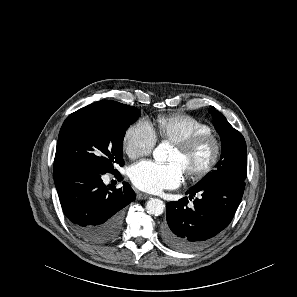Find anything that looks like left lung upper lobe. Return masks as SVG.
I'll list each match as a JSON object with an SVG mask.
<instances>
[{"label":"left lung upper lobe","instance_id":"5c2ea615","mask_svg":"<svg viewBox=\"0 0 297 297\" xmlns=\"http://www.w3.org/2000/svg\"><path fill=\"white\" fill-rule=\"evenodd\" d=\"M210 113L214 118L213 125L221 138V160L217 163L216 169L197 185L217 180L244 182L247 176V149L244 137L220 112L212 110Z\"/></svg>","mask_w":297,"mask_h":297}]
</instances>
